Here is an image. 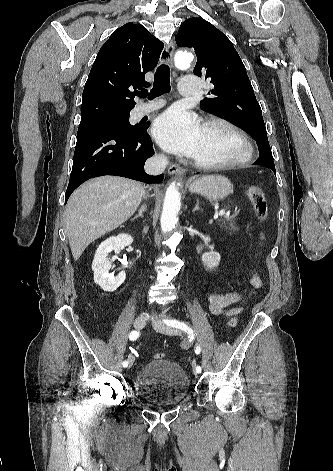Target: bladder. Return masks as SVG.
Listing matches in <instances>:
<instances>
[{
    "label": "bladder",
    "instance_id": "obj_1",
    "mask_svg": "<svg viewBox=\"0 0 333 471\" xmlns=\"http://www.w3.org/2000/svg\"><path fill=\"white\" fill-rule=\"evenodd\" d=\"M135 392L139 400L151 405H175L188 394L190 381L184 369L170 359H155L137 372Z\"/></svg>",
    "mask_w": 333,
    "mask_h": 471
}]
</instances>
